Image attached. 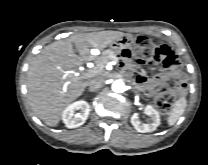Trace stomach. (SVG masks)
I'll use <instances>...</instances> for the list:
<instances>
[{
  "instance_id": "stomach-1",
  "label": "stomach",
  "mask_w": 208,
  "mask_h": 165,
  "mask_svg": "<svg viewBox=\"0 0 208 165\" xmlns=\"http://www.w3.org/2000/svg\"><path fill=\"white\" fill-rule=\"evenodd\" d=\"M136 39L132 36H123L122 38L109 44L111 50L119 53L124 49H130L134 46Z\"/></svg>"
}]
</instances>
